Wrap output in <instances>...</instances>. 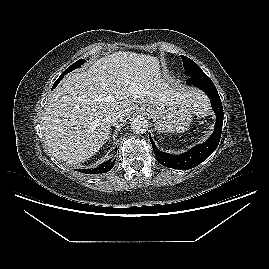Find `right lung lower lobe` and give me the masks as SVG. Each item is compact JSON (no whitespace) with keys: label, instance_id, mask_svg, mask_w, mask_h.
Returning a JSON list of instances; mask_svg holds the SVG:
<instances>
[{"label":"right lung lower lobe","instance_id":"obj_1","mask_svg":"<svg viewBox=\"0 0 269 269\" xmlns=\"http://www.w3.org/2000/svg\"><path fill=\"white\" fill-rule=\"evenodd\" d=\"M67 74L65 72H63L61 74V76L56 80V82L54 83L53 88H55L59 82L61 81V79L64 77V75ZM115 164V160L111 161V159L107 162H104L102 164H100L98 167L93 168V169H78L77 171L81 172V173H85V174H102V173H106L108 171H110L113 166Z\"/></svg>","mask_w":269,"mask_h":269}]
</instances>
